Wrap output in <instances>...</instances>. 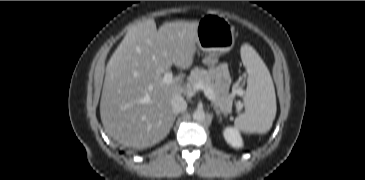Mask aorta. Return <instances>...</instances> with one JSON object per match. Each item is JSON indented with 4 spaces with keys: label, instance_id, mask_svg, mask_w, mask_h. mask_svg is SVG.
I'll return each mask as SVG.
<instances>
[{
    "label": "aorta",
    "instance_id": "aorta-1",
    "mask_svg": "<svg viewBox=\"0 0 365 180\" xmlns=\"http://www.w3.org/2000/svg\"><path fill=\"white\" fill-rule=\"evenodd\" d=\"M206 118L205 112L203 110H196L193 113V119L199 122L204 121Z\"/></svg>",
    "mask_w": 365,
    "mask_h": 180
}]
</instances>
